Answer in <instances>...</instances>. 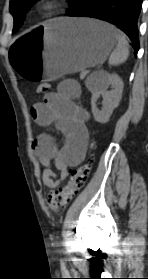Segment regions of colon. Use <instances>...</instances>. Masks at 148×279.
<instances>
[{"label":"colon","instance_id":"obj_1","mask_svg":"<svg viewBox=\"0 0 148 279\" xmlns=\"http://www.w3.org/2000/svg\"><path fill=\"white\" fill-rule=\"evenodd\" d=\"M50 88V84L40 83L36 88V92L44 94ZM92 162V157H88L81 165L69 170L67 182L50 191L47 201L53 211L60 212L63 210L66 204L79 193L87 180Z\"/></svg>","mask_w":148,"mask_h":279}]
</instances>
